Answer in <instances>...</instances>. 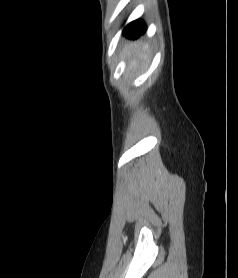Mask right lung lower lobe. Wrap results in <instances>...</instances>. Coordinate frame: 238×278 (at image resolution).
<instances>
[{
    "mask_svg": "<svg viewBox=\"0 0 238 278\" xmlns=\"http://www.w3.org/2000/svg\"><path fill=\"white\" fill-rule=\"evenodd\" d=\"M145 31L146 26L144 22H142L141 20H136L125 27V29L123 30V35L128 38L135 39L142 35Z\"/></svg>",
    "mask_w": 238,
    "mask_h": 278,
    "instance_id": "obj_1",
    "label": "right lung lower lobe"
}]
</instances>
